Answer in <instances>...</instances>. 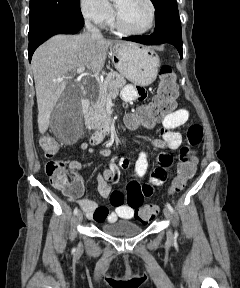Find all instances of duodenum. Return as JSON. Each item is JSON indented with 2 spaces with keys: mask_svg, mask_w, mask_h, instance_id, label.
I'll return each mask as SVG.
<instances>
[{
  "mask_svg": "<svg viewBox=\"0 0 240 288\" xmlns=\"http://www.w3.org/2000/svg\"><path fill=\"white\" fill-rule=\"evenodd\" d=\"M82 110L88 117L89 124L97 128L93 136V141L99 142L104 135L109 132L110 126L114 121L113 114L111 112H105L96 116L92 115L89 112V102L87 100L82 101Z\"/></svg>",
  "mask_w": 240,
  "mask_h": 288,
  "instance_id": "duodenum-1",
  "label": "duodenum"
}]
</instances>
